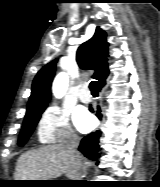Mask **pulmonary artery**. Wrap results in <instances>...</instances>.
Listing matches in <instances>:
<instances>
[{"label":"pulmonary artery","mask_w":160,"mask_h":187,"mask_svg":"<svg viewBox=\"0 0 160 187\" xmlns=\"http://www.w3.org/2000/svg\"><path fill=\"white\" fill-rule=\"evenodd\" d=\"M79 99L83 103H88L91 101V96L89 93H87V88L85 86L82 87L81 91L78 95Z\"/></svg>","instance_id":"e3ab8cb5"}]
</instances>
